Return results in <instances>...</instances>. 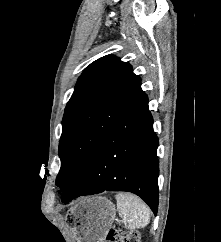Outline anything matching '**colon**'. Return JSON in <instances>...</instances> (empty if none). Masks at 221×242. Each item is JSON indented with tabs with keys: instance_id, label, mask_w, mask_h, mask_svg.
Wrapping results in <instances>:
<instances>
[{
	"instance_id": "1",
	"label": "colon",
	"mask_w": 221,
	"mask_h": 242,
	"mask_svg": "<svg viewBox=\"0 0 221 242\" xmlns=\"http://www.w3.org/2000/svg\"><path fill=\"white\" fill-rule=\"evenodd\" d=\"M106 242H140V235L134 230L112 228L107 233Z\"/></svg>"
}]
</instances>
